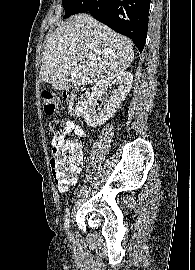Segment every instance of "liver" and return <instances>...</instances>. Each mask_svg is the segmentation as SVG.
I'll return each instance as SVG.
<instances>
[{"mask_svg":"<svg viewBox=\"0 0 195 270\" xmlns=\"http://www.w3.org/2000/svg\"><path fill=\"white\" fill-rule=\"evenodd\" d=\"M133 58L129 39L90 15L78 14L48 35L40 81L56 90L84 86L125 71Z\"/></svg>","mask_w":195,"mask_h":270,"instance_id":"6515ba94","label":"liver"}]
</instances>
